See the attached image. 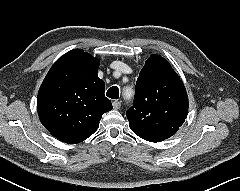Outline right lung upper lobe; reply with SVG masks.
<instances>
[{
  "label": "right lung upper lobe",
  "mask_w": 240,
  "mask_h": 191,
  "mask_svg": "<svg viewBox=\"0 0 240 191\" xmlns=\"http://www.w3.org/2000/svg\"><path fill=\"white\" fill-rule=\"evenodd\" d=\"M99 59L82 49L60 57L44 78L37 98L41 123L57 139L75 144L96 132L102 114L112 109L105 83L97 76Z\"/></svg>",
  "instance_id": "cb5924a9"
}]
</instances>
